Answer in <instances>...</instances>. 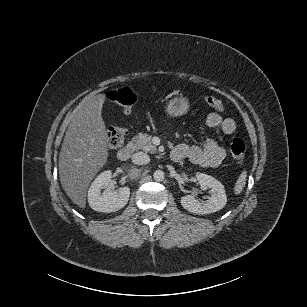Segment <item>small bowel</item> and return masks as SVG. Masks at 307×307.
<instances>
[{
	"label": "small bowel",
	"mask_w": 307,
	"mask_h": 307,
	"mask_svg": "<svg viewBox=\"0 0 307 307\" xmlns=\"http://www.w3.org/2000/svg\"><path fill=\"white\" fill-rule=\"evenodd\" d=\"M206 125L210 130L221 129L230 135L236 130V122L232 118H223L216 112L207 115ZM226 157V151L214 138H208L202 146L180 144L171 152V158L179 162L187 159L201 167H218Z\"/></svg>",
	"instance_id": "1"
}]
</instances>
